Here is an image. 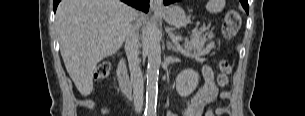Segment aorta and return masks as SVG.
Listing matches in <instances>:
<instances>
[{"instance_id":"obj_1","label":"aorta","mask_w":305,"mask_h":116,"mask_svg":"<svg viewBox=\"0 0 305 116\" xmlns=\"http://www.w3.org/2000/svg\"><path fill=\"white\" fill-rule=\"evenodd\" d=\"M145 48L148 56L147 85H146V112L153 114L156 111L158 77L161 65V46L158 26L152 22L146 31Z\"/></svg>"}]
</instances>
